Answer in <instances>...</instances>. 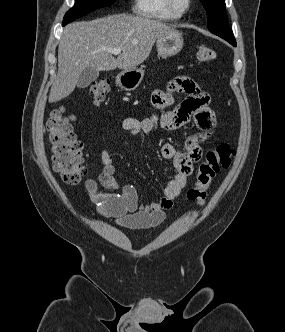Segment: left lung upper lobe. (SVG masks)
<instances>
[{"label":"left lung upper lobe","instance_id":"1","mask_svg":"<svg viewBox=\"0 0 285 332\" xmlns=\"http://www.w3.org/2000/svg\"><path fill=\"white\" fill-rule=\"evenodd\" d=\"M201 2L207 11L209 31L225 40H235L228 25L225 0H201Z\"/></svg>","mask_w":285,"mask_h":332}]
</instances>
